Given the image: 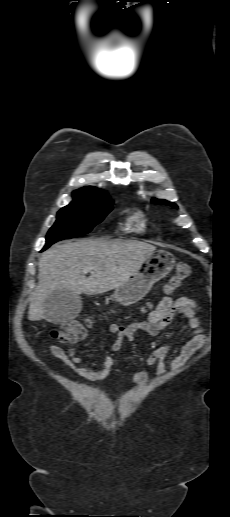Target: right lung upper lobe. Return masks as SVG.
<instances>
[{
  "mask_svg": "<svg viewBox=\"0 0 230 517\" xmlns=\"http://www.w3.org/2000/svg\"><path fill=\"white\" fill-rule=\"evenodd\" d=\"M107 194L100 189L94 187H84L73 192L74 200L72 202H81L105 197Z\"/></svg>",
  "mask_w": 230,
  "mask_h": 517,
  "instance_id": "cb5924a9",
  "label": "right lung upper lobe"
}]
</instances>
